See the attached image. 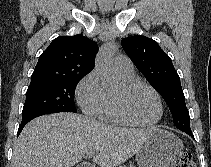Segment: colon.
<instances>
[{
	"instance_id": "5ec220e1",
	"label": "colon",
	"mask_w": 211,
	"mask_h": 167,
	"mask_svg": "<svg viewBox=\"0 0 211 167\" xmlns=\"http://www.w3.org/2000/svg\"><path fill=\"white\" fill-rule=\"evenodd\" d=\"M176 167H196L193 157L190 153H185L181 156Z\"/></svg>"
}]
</instances>
